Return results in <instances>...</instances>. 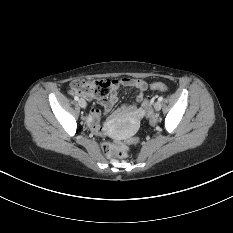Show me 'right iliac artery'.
<instances>
[{"label": "right iliac artery", "mask_w": 233, "mask_h": 233, "mask_svg": "<svg viewBox=\"0 0 233 233\" xmlns=\"http://www.w3.org/2000/svg\"><path fill=\"white\" fill-rule=\"evenodd\" d=\"M74 99H75L76 101H78V100H79L78 96H75V97H74Z\"/></svg>", "instance_id": "right-iliac-artery-1"}]
</instances>
